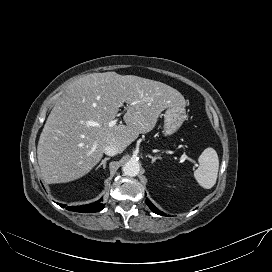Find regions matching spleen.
Returning <instances> with one entry per match:
<instances>
[{
  "label": "spleen",
  "mask_w": 272,
  "mask_h": 272,
  "mask_svg": "<svg viewBox=\"0 0 272 272\" xmlns=\"http://www.w3.org/2000/svg\"><path fill=\"white\" fill-rule=\"evenodd\" d=\"M200 166L194 171V177L205 189L212 188L217 180L219 159L216 151L208 147L199 157Z\"/></svg>",
  "instance_id": "spleen-1"
}]
</instances>
